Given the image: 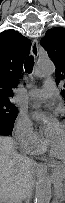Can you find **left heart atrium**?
I'll return each instance as SVG.
<instances>
[{"mask_svg": "<svg viewBox=\"0 0 65 203\" xmlns=\"http://www.w3.org/2000/svg\"><path fill=\"white\" fill-rule=\"evenodd\" d=\"M35 119L40 120L42 118V114L40 113H35L34 114Z\"/></svg>", "mask_w": 65, "mask_h": 203, "instance_id": "obj_1", "label": "left heart atrium"}]
</instances>
